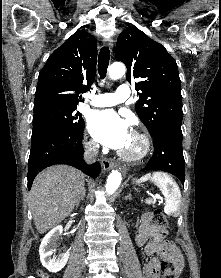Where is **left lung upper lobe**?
<instances>
[{
    "label": "left lung upper lobe",
    "mask_w": 221,
    "mask_h": 278,
    "mask_svg": "<svg viewBox=\"0 0 221 278\" xmlns=\"http://www.w3.org/2000/svg\"><path fill=\"white\" fill-rule=\"evenodd\" d=\"M116 59L126 64L129 83L139 79L135 109L151 136L162 129L181 130V82L176 61L165 47L129 27L117 39Z\"/></svg>",
    "instance_id": "5c2ea615"
}]
</instances>
